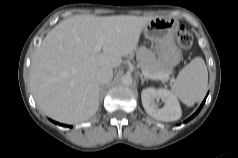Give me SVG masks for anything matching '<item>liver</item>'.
<instances>
[{
    "instance_id": "1",
    "label": "liver",
    "mask_w": 238,
    "mask_h": 158,
    "mask_svg": "<svg viewBox=\"0 0 238 158\" xmlns=\"http://www.w3.org/2000/svg\"><path fill=\"white\" fill-rule=\"evenodd\" d=\"M155 17L76 15L48 32L33 54L30 84L38 107L51 118L74 124L98 110L97 71L117 68L133 54L140 34ZM104 38L102 52H95Z\"/></svg>"
}]
</instances>
